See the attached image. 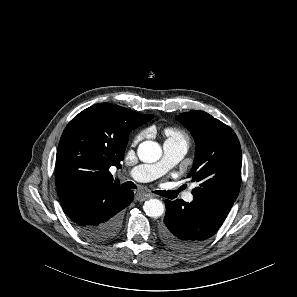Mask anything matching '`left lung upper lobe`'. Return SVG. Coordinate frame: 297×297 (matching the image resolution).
I'll use <instances>...</instances> for the list:
<instances>
[{
	"label": "left lung upper lobe",
	"mask_w": 297,
	"mask_h": 297,
	"mask_svg": "<svg viewBox=\"0 0 297 297\" xmlns=\"http://www.w3.org/2000/svg\"><path fill=\"white\" fill-rule=\"evenodd\" d=\"M196 141V156L188 178L198 183L196 199L236 200L241 185L242 154L235 132L203 111L176 116Z\"/></svg>",
	"instance_id": "left-lung-upper-lobe-1"
}]
</instances>
